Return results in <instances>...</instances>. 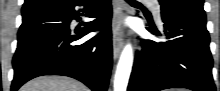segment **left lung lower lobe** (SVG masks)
I'll list each match as a JSON object with an SVG mask.
<instances>
[{"instance_id":"left-lung-lower-lobe-1","label":"left lung lower lobe","mask_w":220,"mask_h":91,"mask_svg":"<svg viewBox=\"0 0 220 91\" xmlns=\"http://www.w3.org/2000/svg\"><path fill=\"white\" fill-rule=\"evenodd\" d=\"M161 10L162 36L166 41L142 40V51L135 57L128 91L168 88L215 91L206 18L165 7ZM148 30L161 36L153 25Z\"/></svg>"}]
</instances>
